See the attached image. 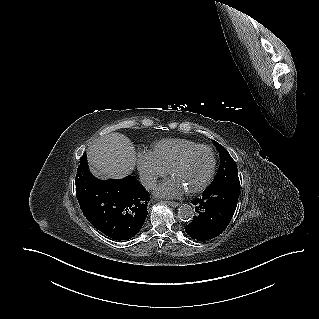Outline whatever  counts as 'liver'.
Returning <instances> with one entry per match:
<instances>
[{"instance_id": "1", "label": "liver", "mask_w": 319, "mask_h": 319, "mask_svg": "<svg viewBox=\"0 0 319 319\" xmlns=\"http://www.w3.org/2000/svg\"><path fill=\"white\" fill-rule=\"evenodd\" d=\"M93 174L100 178L121 179L134 169L135 148L130 139L120 133H110L93 143L87 150Z\"/></svg>"}]
</instances>
